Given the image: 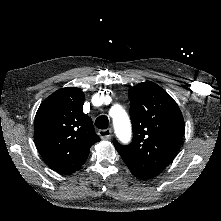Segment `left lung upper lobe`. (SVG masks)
<instances>
[{
  "instance_id": "obj_1",
  "label": "left lung upper lobe",
  "mask_w": 221,
  "mask_h": 221,
  "mask_svg": "<svg viewBox=\"0 0 221 221\" xmlns=\"http://www.w3.org/2000/svg\"><path fill=\"white\" fill-rule=\"evenodd\" d=\"M133 140L114 146L133 175L149 179L175 158L184 132V119L177 103L159 85L139 83L129 88Z\"/></svg>"
}]
</instances>
